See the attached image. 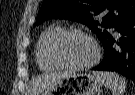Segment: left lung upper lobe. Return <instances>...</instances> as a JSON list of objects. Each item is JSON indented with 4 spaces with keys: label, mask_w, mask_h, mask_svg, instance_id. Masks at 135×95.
<instances>
[{
    "label": "left lung upper lobe",
    "mask_w": 135,
    "mask_h": 95,
    "mask_svg": "<svg viewBox=\"0 0 135 95\" xmlns=\"http://www.w3.org/2000/svg\"><path fill=\"white\" fill-rule=\"evenodd\" d=\"M99 14L104 16L102 22L93 19ZM133 14L135 0H44L36 25L50 18L74 20L87 25L103 42L110 36L106 28L116 29Z\"/></svg>",
    "instance_id": "1"
}]
</instances>
